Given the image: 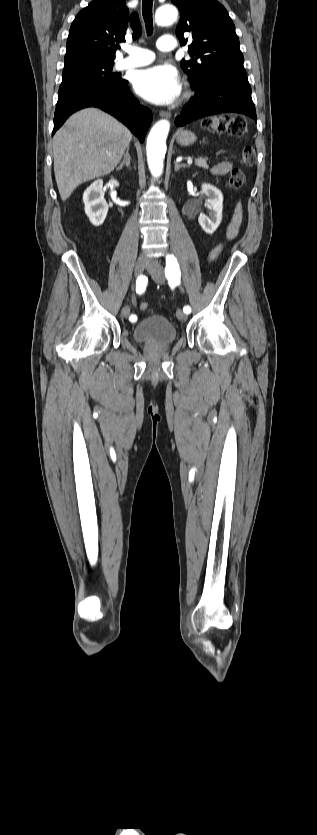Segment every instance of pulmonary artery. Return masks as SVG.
Instances as JSON below:
<instances>
[{"label":"pulmonary artery","mask_w":317,"mask_h":835,"mask_svg":"<svg viewBox=\"0 0 317 835\" xmlns=\"http://www.w3.org/2000/svg\"><path fill=\"white\" fill-rule=\"evenodd\" d=\"M157 48L163 52H169L176 48L174 37L170 35L161 36L157 41ZM128 56L117 62V69L136 68L150 64L155 55L151 50L139 46H127Z\"/></svg>","instance_id":"obj_1"}]
</instances>
